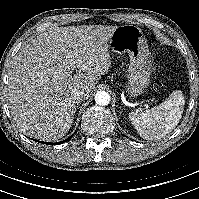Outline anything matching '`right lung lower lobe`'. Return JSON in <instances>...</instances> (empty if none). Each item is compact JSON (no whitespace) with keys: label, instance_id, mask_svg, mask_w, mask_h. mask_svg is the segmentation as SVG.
<instances>
[{"label":"right lung lower lobe","instance_id":"98d812e1","mask_svg":"<svg viewBox=\"0 0 199 199\" xmlns=\"http://www.w3.org/2000/svg\"><path fill=\"white\" fill-rule=\"evenodd\" d=\"M73 135H71L69 138H67L66 140H64V141H62V142H58V143H47V144H49V145H56V144H61V143H64V142H66V141H68V140H70V138L72 137ZM35 141H37V140H35ZM37 142H40V141H37ZM42 142V141H41ZM46 144V143H45Z\"/></svg>","mask_w":199,"mask_h":199}]
</instances>
